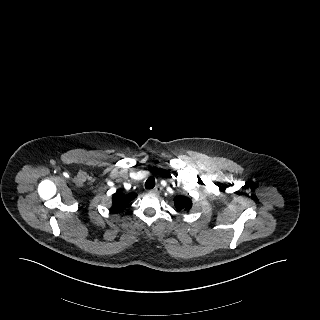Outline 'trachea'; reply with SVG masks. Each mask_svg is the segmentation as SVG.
Segmentation results:
<instances>
[{"instance_id":"1","label":"trachea","mask_w":320,"mask_h":320,"mask_svg":"<svg viewBox=\"0 0 320 320\" xmlns=\"http://www.w3.org/2000/svg\"><path fill=\"white\" fill-rule=\"evenodd\" d=\"M155 186V180L153 177H150L147 179V181L145 182V188L146 189H153Z\"/></svg>"}]
</instances>
